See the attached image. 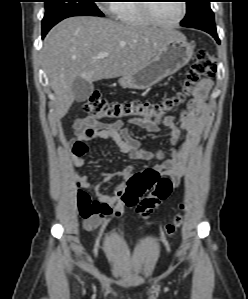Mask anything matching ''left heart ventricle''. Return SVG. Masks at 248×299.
Listing matches in <instances>:
<instances>
[{"label":"left heart ventricle","instance_id":"b2bd125f","mask_svg":"<svg viewBox=\"0 0 248 299\" xmlns=\"http://www.w3.org/2000/svg\"><path fill=\"white\" fill-rule=\"evenodd\" d=\"M153 12L161 21L173 22L181 14L180 0L154 3Z\"/></svg>","mask_w":248,"mask_h":299}]
</instances>
